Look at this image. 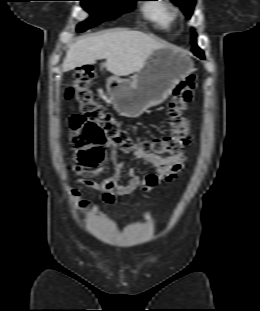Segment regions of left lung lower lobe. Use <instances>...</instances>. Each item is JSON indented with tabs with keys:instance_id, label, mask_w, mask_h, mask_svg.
<instances>
[{
	"instance_id": "1",
	"label": "left lung lower lobe",
	"mask_w": 260,
	"mask_h": 311,
	"mask_svg": "<svg viewBox=\"0 0 260 311\" xmlns=\"http://www.w3.org/2000/svg\"><path fill=\"white\" fill-rule=\"evenodd\" d=\"M194 54L197 55L199 58L204 59V56H203V55H201V54H196V53H194Z\"/></svg>"
}]
</instances>
